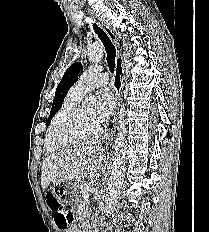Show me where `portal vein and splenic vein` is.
Instances as JSON below:
<instances>
[{
    "label": "portal vein and splenic vein",
    "mask_w": 209,
    "mask_h": 232,
    "mask_svg": "<svg viewBox=\"0 0 209 232\" xmlns=\"http://www.w3.org/2000/svg\"><path fill=\"white\" fill-rule=\"evenodd\" d=\"M82 197L84 200H88L89 199V194L88 193H83Z\"/></svg>",
    "instance_id": "portal-vein-and-splenic-vein-1"
}]
</instances>
